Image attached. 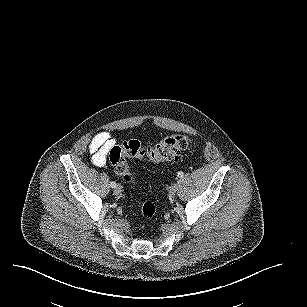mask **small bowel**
<instances>
[{
  "label": "small bowel",
  "mask_w": 307,
  "mask_h": 307,
  "mask_svg": "<svg viewBox=\"0 0 307 307\" xmlns=\"http://www.w3.org/2000/svg\"><path fill=\"white\" fill-rule=\"evenodd\" d=\"M115 143L116 140L107 131L96 134L88 146L92 163L97 167H103L106 163V157Z\"/></svg>",
  "instance_id": "small-bowel-1"
}]
</instances>
